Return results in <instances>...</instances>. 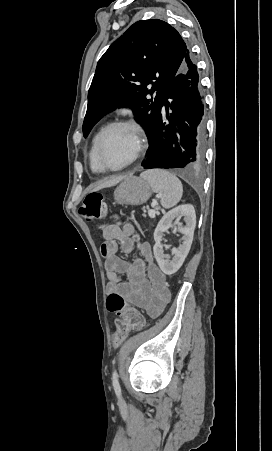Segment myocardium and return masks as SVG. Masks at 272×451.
I'll return each instance as SVG.
<instances>
[{"instance_id": "obj_1", "label": "myocardium", "mask_w": 272, "mask_h": 451, "mask_svg": "<svg viewBox=\"0 0 272 451\" xmlns=\"http://www.w3.org/2000/svg\"><path fill=\"white\" fill-rule=\"evenodd\" d=\"M123 129L125 130L130 138L131 142V153L128 161L120 168L115 170H110L105 168L100 161V151L101 147L103 145V142L105 140L106 135L113 129ZM141 141H142V132L139 130L135 125L129 123V122H113L107 125L103 131L98 136L96 146H95V158L97 162L98 172L105 173V172H113V173H119L124 170H126L137 158L138 153L141 148Z\"/></svg>"}]
</instances>
